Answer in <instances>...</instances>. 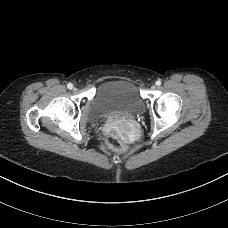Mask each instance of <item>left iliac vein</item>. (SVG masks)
<instances>
[{
  "mask_svg": "<svg viewBox=\"0 0 228 228\" xmlns=\"http://www.w3.org/2000/svg\"><path fill=\"white\" fill-rule=\"evenodd\" d=\"M151 89H152V90L156 89V86H155V85H152V86H151Z\"/></svg>",
  "mask_w": 228,
  "mask_h": 228,
  "instance_id": "obj_1",
  "label": "left iliac vein"
}]
</instances>
